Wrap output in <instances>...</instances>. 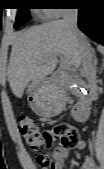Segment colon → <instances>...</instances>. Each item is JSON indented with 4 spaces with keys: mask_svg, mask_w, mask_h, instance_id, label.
<instances>
[{
    "mask_svg": "<svg viewBox=\"0 0 104 169\" xmlns=\"http://www.w3.org/2000/svg\"><path fill=\"white\" fill-rule=\"evenodd\" d=\"M18 129L20 136L32 150L41 151L36 162L42 169H54L55 156L47 149L55 140H61V144L66 147H75L79 141L78 131L67 123L41 131L33 119L22 117Z\"/></svg>",
    "mask_w": 104,
    "mask_h": 169,
    "instance_id": "5ec220e1",
    "label": "colon"
}]
</instances>
